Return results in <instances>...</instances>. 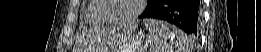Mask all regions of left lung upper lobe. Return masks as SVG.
<instances>
[{
  "instance_id": "left-lung-upper-lobe-1",
  "label": "left lung upper lobe",
  "mask_w": 261,
  "mask_h": 52,
  "mask_svg": "<svg viewBox=\"0 0 261 52\" xmlns=\"http://www.w3.org/2000/svg\"><path fill=\"white\" fill-rule=\"evenodd\" d=\"M153 0H149V4L152 2Z\"/></svg>"
}]
</instances>
